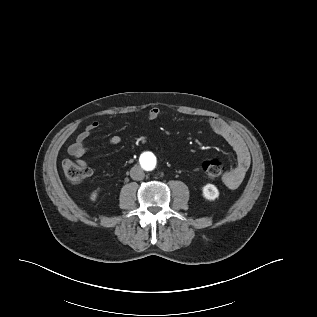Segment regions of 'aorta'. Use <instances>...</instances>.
<instances>
[{"label": "aorta", "instance_id": "aorta-1", "mask_svg": "<svg viewBox=\"0 0 317 317\" xmlns=\"http://www.w3.org/2000/svg\"><path fill=\"white\" fill-rule=\"evenodd\" d=\"M140 162L142 166L148 171L154 170L156 166L155 157L151 154H143L140 158Z\"/></svg>", "mask_w": 317, "mask_h": 317}]
</instances>
